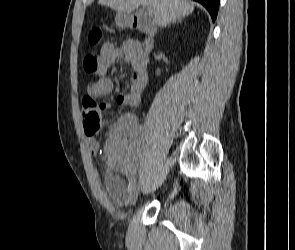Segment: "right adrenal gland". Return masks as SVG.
Returning a JSON list of instances; mask_svg holds the SVG:
<instances>
[{"label": "right adrenal gland", "mask_w": 295, "mask_h": 250, "mask_svg": "<svg viewBox=\"0 0 295 250\" xmlns=\"http://www.w3.org/2000/svg\"><path fill=\"white\" fill-rule=\"evenodd\" d=\"M176 21H174L173 23H175ZM178 22H181V19L178 20Z\"/></svg>", "instance_id": "1"}]
</instances>
